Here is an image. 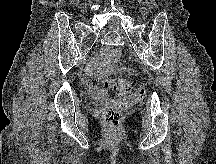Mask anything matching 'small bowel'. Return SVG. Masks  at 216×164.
<instances>
[{"label":"small bowel","mask_w":216,"mask_h":164,"mask_svg":"<svg viewBox=\"0 0 216 164\" xmlns=\"http://www.w3.org/2000/svg\"><path fill=\"white\" fill-rule=\"evenodd\" d=\"M118 56V51L115 49L107 50L105 53V57L102 59V63H97L96 60L92 61L88 67V74L91 77H100L107 75L113 71L112 62L111 60L116 59ZM89 92L90 94L98 99L104 100L105 92L104 90L98 86L96 81H92L89 84Z\"/></svg>","instance_id":"obj_1"}]
</instances>
